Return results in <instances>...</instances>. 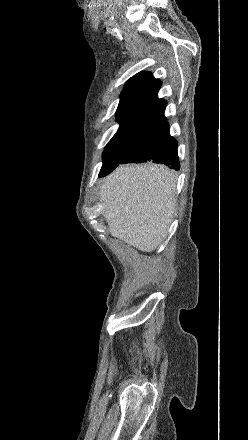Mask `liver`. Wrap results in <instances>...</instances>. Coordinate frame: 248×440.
I'll return each instance as SVG.
<instances>
[{"label": "liver", "instance_id": "liver-1", "mask_svg": "<svg viewBox=\"0 0 248 440\" xmlns=\"http://www.w3.org/2000/svg\"><path fill=\"white\" fill-rule=\"evenodd\" d=\"M109 232L143 252L164 240L175 210V176L163 165L120 166L100 188Z\"/></svg>", "mask_w": 248, "mask_h": 440}]
</instances>
